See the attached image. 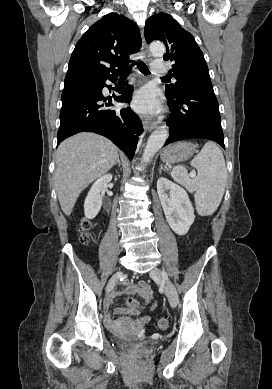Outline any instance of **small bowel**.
<instances>
[{
	"instance_id": "small-bowel-1",
	"label": "small bowel",
	"mask_w": 272,
	"mask_h": 389,
	"mask_svg": "<svg viewBox=\"0 0 272 389\" xmlns=\"http://www.w3.org/2000/svg\"><path fill=\"white\" fill-rule=\"evenodd\" d=\"M120 294H132V295H139L142 298H144L146 301L151 302L153 300V290L151 286L147 282H140L137 284L133 283H128L124 284L122 289L116 291L111 298L108 300L106 303V308L109 309L112 303V300L115 296L120 295ZM117 312H122V309H117ZM139 322L142 324H145L149 322V317L148 316H142L139 319Z\"/></svg>"
}]
</instances>
